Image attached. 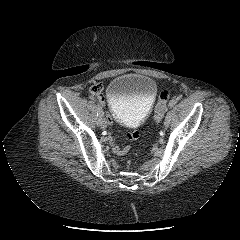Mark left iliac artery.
Masks as SVG:
<instances>
[{
  "label": "left iliac artery",
  "mask_w": 240,
  "mask_h": 240,
  "mask_svg": "<svg viewBox=\"0 0 240 240\" xmlns=\"http://www.w3.org/2000/svg\"><path fill=\"white\" fill-rule=\"evenodd\" d=\"M176 103H177V99H172V100L169 102V107L172 108L173 106H175Z\"/></svg>",
  "instance_id": "1"
}]
</instances>
